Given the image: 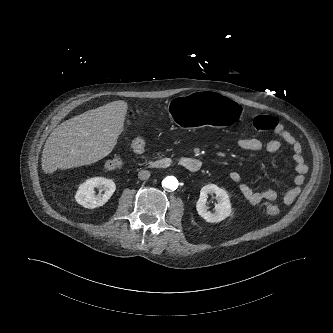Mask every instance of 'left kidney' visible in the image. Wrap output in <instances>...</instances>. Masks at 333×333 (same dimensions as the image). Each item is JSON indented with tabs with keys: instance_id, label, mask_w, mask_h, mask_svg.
Segmentation results:
<instances>
[{
	"instance_id": "left-kidney-1",
	"label": "left kidney",
	"mask_w": 333,
	"mask_h": 333,
	"mask_svg": "<svg viewBox=\"0 0 333 333\" xmlns=\"http://www.w3.org/2000/svg\"><path fill=\"white\" fill-rule=\"evenodd\" d=\"M208 194H216L218 203L215 205V212L207 211L206 206ZM198 214L207 222L217 223L231 214V203L227 192L215 184H208L201 188L200 197L196 203Z\"/></svg>"
}]
</instances>
